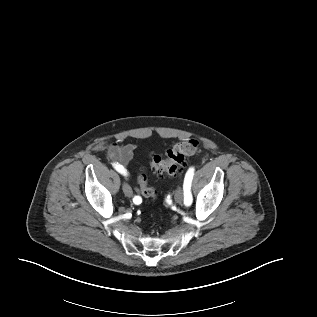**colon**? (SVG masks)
<instances>
[{
	"instance_id": "1",
	"label": "colon",
	"mask_w": 317,
	"mask_h": 317,
	"mask_svg": "<svg viewBox=\"0 0 317 317\" xmlns=\"http://www.w3.org/2000/svg\"><path fill=\"white\" fill-rule=\"evenodd\" d=\"M198 149L196 140H184L174 144L164 155H153L150 161V166L156 175L175 176L179 168L183 166L186 158L194 154ZM137 182L140 186L142 194L154 200L157 192L154 188L148 185L146 175L141 173L137 176Z\"/></svg>"
}]
</instances>
